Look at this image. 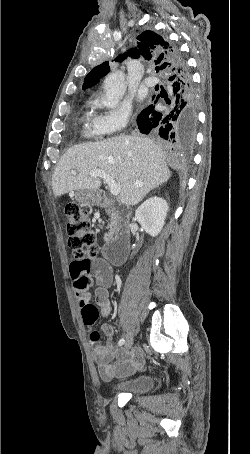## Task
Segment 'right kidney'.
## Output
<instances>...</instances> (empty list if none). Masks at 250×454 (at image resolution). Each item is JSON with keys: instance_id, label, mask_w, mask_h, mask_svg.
<instances>
[{"instance_id": "ca27d5eb", "label": "right kidney", "mask_w": 250, "mask_h": 454, "mask_svg": "<svg viewBox=\"0 0 250 454\" xmlns=\"http://www.w3.org/2000/svg\"><path fill=\"white\" fill-rule=\"evenodd\" d=\"M168 204L161 197L153 196L144 201L136 210L135 218L142 228L152 237L157 236L164 224Z\"/></svg>"}]
</instances>
